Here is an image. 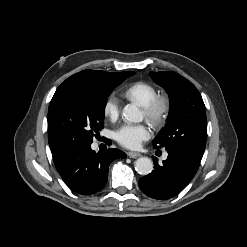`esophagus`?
<instances>
[{"label": "esophagus", "mask_w": 247, "mask_h": 247, "mask_svg": "<svg viewBox=\"0 0 247 247\" xmlns=\"http://www.w3.org/2000/svg\"><path fill=\"white\" fill-rule=\"evenodd\" d=\"M127 155L130 158H137V157L141 156V154L138 152H128Z\"/></svg>", "instance_id": "34e87169"}]
</instances>
